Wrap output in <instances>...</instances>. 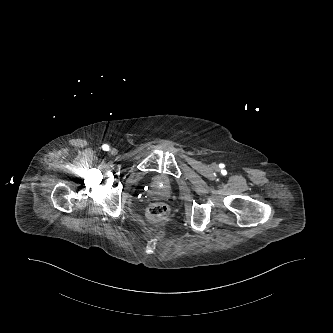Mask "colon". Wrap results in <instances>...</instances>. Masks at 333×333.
Instances as JSON below:
<instances>
[{
	"mask_svg": "<svg viewBox=\"0 0 333 333\" xmlns=\"http://www.w3.org/2000/svg\"><path fill=\"white\" fill-rule=\"evenodd\" d=\"M168 213V208L163 203H155L148 210V215L152 220H162Z\"/></svg>",
	"mask_w": 333,
	"mask_h": 333,
	"instance_id": "1",
	"label": "colon"
}]
</instances>
